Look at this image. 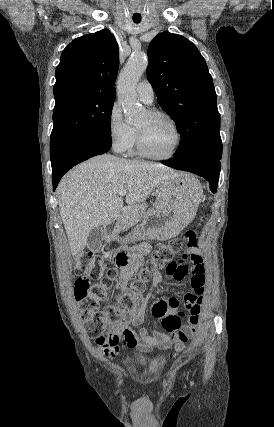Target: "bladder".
Masks as SVG:
<instances>
[{
	"label": "bladder",
	"instance_id": "1",
	"mask_svg": "<svg viewBox=\"0 0 274 427\" xmlns=\"http://www.w3.org/2000/svg\"><path fill=\"white\" fill-rule=\"evenodd\" d=\"M151 362V357L141 352L125 354L122 360V366L130 367L134 364L147 366Z\"/></svg>",
	"mask_w": 274,
	"mask_h": 427
}]
</instances>
